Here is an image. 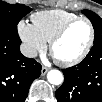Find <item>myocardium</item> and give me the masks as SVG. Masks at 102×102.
I'll return each instance as SVG.
<instances>
[{
	"label": "myocardium",
	"mask_w": 102,
	"mask_h": 102,
	"mask_svg": "<svg viewBox=\"0 0 102 102\" xmlns=\"http://www.w3.org/2000/svg\"><path fill=\"white\" fill-rule=\"evenodd\" d=\"M78 22H84L87 24L89 31H90V35H89V39L88 42L85 46V48L83 49V51L80 53L79 56H77L76 58L72 59V60H68V61H62V60H57V62L63 66V67H71L74 65L79 64L81 61H83L85 59V57L88 55V53L90 52L92 45H93V41H94V29L93 26L90 22L89 19L85 18V17H77L71 21H69L68 23H66L50 40L49 42V51L50 53L53 55V49L55 48V46L57 45V43L66 35V33L68 32V30L75 25Z\"/></svg>",
	"instance_id": "f54148a6"
}]
</instances>
